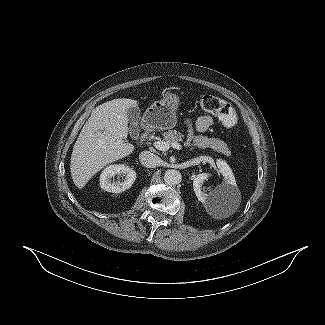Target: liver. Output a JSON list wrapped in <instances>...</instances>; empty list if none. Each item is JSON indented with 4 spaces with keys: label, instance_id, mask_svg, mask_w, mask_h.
<instances>
[{
    "label": "liver",
    "instance_id": "liver-1",
    "mask_svg": "<svg viewBox=\"0 0 325 325\" xmlns=\"http://www.w3.org/2000/svg\"><path fill=\"white\" fill-rule=\"evenodd\" d=\"M138 106L132 99H114L93 109L73 147L70 169L74 184L82 189L107 164L130 155L127 112Z\"/></svg>",
    "mask_w": 325,
    "mask_h": 325
}]
</instances>
